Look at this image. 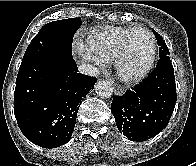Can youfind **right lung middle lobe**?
<instances>
[{"mask_svg": "<svg viewBox=\"0 0 196 166\" xmlns=\"http://www.w3.org/2000/svg\"><path fill=\"white\" fill-rule=\"evenodd\" d=\"M80 26V18L63 19L45 24L32 39L23 59L48 52L72 57V40Z\"/></svg>", "mask_w": 196, "mask_h": 166, "instance_id": "obj_1", "label": "right lung middle lobe"}]
</instances>
